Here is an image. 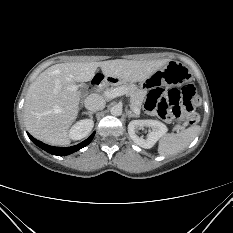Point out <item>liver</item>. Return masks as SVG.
<instances>
[{
  "mask_svg": "<svg viewBox=\"0 0 233 233\" xmlns=\"http://www.w3.org/2000/svg\"><path fill=\"white\" fill-rule=\"evenodd\" d=\"M169 60L136 61L115 59L102 62H72L53 65L30 85L24 104L28 132L50 145L70 143L69 128L79 113L81 92L77 83L93 79L97 68L104 76L124 83L149 79Z\"/></svg>",
  "mask_w": 233,
  "mask_h": 233,
  "instance_id": "1",
  "label": "liver"
}]
</instances>
